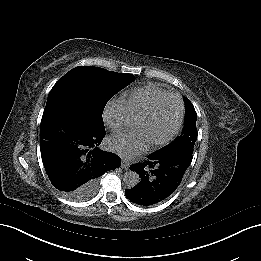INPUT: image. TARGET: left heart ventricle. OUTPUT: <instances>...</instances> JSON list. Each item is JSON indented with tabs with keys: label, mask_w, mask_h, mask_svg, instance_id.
<instances>
[{
	"label": "left heart ventricle",
	"mask_w": 261,
	"mask_h": 261,
	"mask_svg": "<svg viewBox=\"0 0 261 261\" xmlns=\"http://www.w3.org/2000/svg\"><path fill=\"white\" fill-rule=\"evenodd\" d=\"M177 116L178 106L174 102L157 112L156 117L151 118L146 127L150 139L159 140L166 136L175 125Z\"/></svg>",
	"instance_id": "b2bd125f"
}]
</instances>
